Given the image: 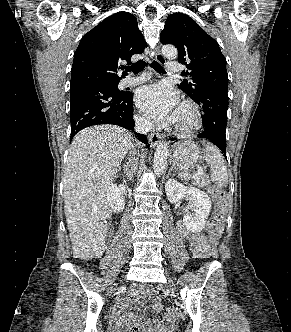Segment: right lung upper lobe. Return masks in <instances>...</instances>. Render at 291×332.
<instances>
[{
  "label": "right lung upper lobe",
  "mask_w": 291,
  "mask_h": 332,
  "mask_svg": "<svg viewBox=\"0 0 291 332\" xmlns=\"http://www.w3.org/2000/svg\"><path fill=\"white\" fill-rule=\"evenodd\" d=\"M146 47L134 15L117 12L104 19L81 39L74 54L70 89L95 81H120L117 72L131 64V57ZM127 73L123 72L122 77Z\"/></svg>",
  "instance_id": "1"
}]
</instances>
